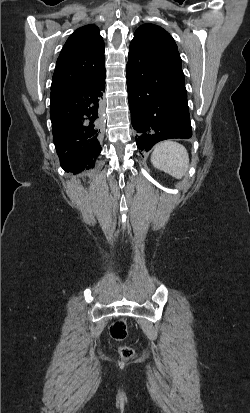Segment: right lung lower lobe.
<instances>
[{"instance_id":"obj_1","label":"right lung lower lobe","mask_w":250,"mask_h":413,"mask_svg":"<svg viewBox=\"0 0 250 413\" xmlns=\"http://www.w3.org/2000/svg\"><path fill=\"white\" fill-rule=\"evenodd\" d=\"M105 70L89 82L51 90L53 139L62 168L74 174L94 167L101 147Z\"/></svg>"}]
</instances>
